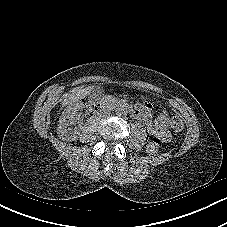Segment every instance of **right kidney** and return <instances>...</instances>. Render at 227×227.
I'll use <instances>...</instances> for the list:
<instances>
[{
  "label": "right kidney",
  "mask_w": 227,
  "mask_h": 227,
  "mask_svg": "<svg viewBox=\"0 0 227 227\" xmlns=\"http://www.w3.org/2000/svg\"><path fill=\"white\" fill-rule=\"evenodd\" d=\"M68 113H70V110H68L67 111ZM66 112V113H67ZM65 113H63L62 114V117L60 118V125H59V129H61L62 128V125H63V123L65 124V125H68L67 123H66V118H69V116H66V114L64 115ZM71 118H73V117H71Z\"/></svg>",
  "instance_id": "right-kidney-1"
}]
</instances>
